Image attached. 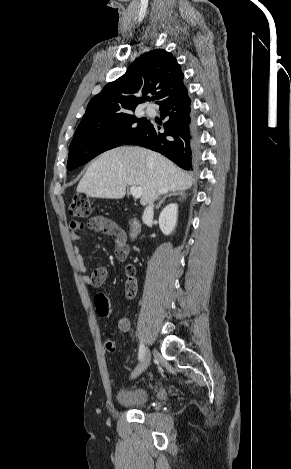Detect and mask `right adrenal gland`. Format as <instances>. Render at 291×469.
Listing matches in <instances>:
<instances>
[{
	"mask_svg": "<svg viewBox=\"0 0 291 469\" xmlns=\"http://www.w3.org/2000/svg\"><path fill=\"white\" fill-rule=\"evenodd\" d=\"M174 195H179L181 197H185V194L183 191H173V192H170L169 194L165 195L161 200L160 202L157 204L156 206V209H159V207L161 206L162 203H164L165 199L168 198V197H171V196H174Z\"/></svg>",
	"mask_w": 291,
	"mask_h": 469,
	"instance_id": "right-adrenal-gland-1",
	"label": "right adrenal gland"
}]
</instances>
